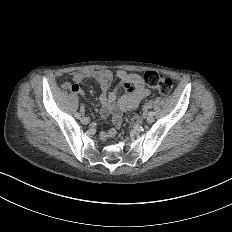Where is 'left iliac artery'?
<instances>
[{"instance_id":"1","label":"left iliac artery","mask_w":232,"mask_h":232,"mask_svg":"<svg viewBox=\"0 0 232 232\" xmlns=\"http://www.w3.org/2000/svg\"><path fill=\"white\" fill-rule=\"evenodd\" d=\"M154 115H155V113H154V112H152V111H151V112H149V116H150V117H153Z\"/></svg>"}]
</instances>
